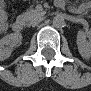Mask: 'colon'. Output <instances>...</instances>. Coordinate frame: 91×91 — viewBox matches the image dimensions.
I'll return each instance as SVG.
<instances>
[{"mask_svg":"<svg viewBox=\"0 0 91 91\" xmlns=\"http://www.w3.org/2000/svg\"><path fill=\"white\" fill-rule=\"evenodd\" d=\"M1 12H5L6 13V7H5V5L3 3L1 4V7H0V13Z\"/></svg>","mask_w":91,"mask_h":91,"instance_id":"colon-1","label":"colon"}]
</instances>
